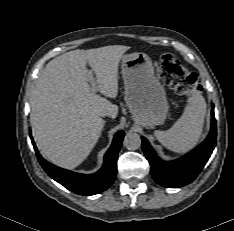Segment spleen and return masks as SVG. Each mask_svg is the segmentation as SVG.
Returning <instances> with one entry per match:
<instances>
[{
    "instance_id": "3e777b00",
    "label": "spleen",
    "mask_w": 234,
    "mask_h": 231,
    "mask_svg": "<svg viewBox=\"0 0 234 231\" xmlns=\"http://www.w3.org/2000/svg\"><path fill=\"white\" fill-rule=\"evenodd\" d=\"M206 102L200 92L195 91L187 100L182 116L166 131L156 130L154 135L167 149L186 153L198 143L206 115Z\"/></svg>"
}]
</instances>
